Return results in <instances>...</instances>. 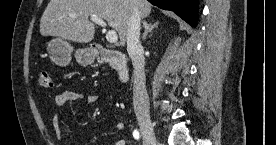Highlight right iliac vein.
Segmentation results:
<instances>
[{"label":"right iliac vein","instance_id":"1","mask_svg":"<svg viewBox=\"0 0 276 145\" xmlns=\"http://www.w3.org/2000/svg\"><path fill=\"white\" fill-rule=\"evenodd\" d=\"M138 122L140 124L141 133L143 136L145 145H156L157 139L153 130L150 117L148 115L138 116Z\"/></svg>","mask_w":276,"mask_h":145}]
</instances>
